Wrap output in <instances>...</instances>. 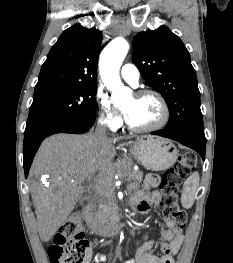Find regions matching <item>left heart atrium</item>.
<instances>
[{
    "label": "left heart atrium",
    "mask_w": 233,
    "mask_h": 263,
    "mask_svg": "<svg viewBox=\"0 0 233 263\" xmlns=\"http://www.w3.org/2000/svg\"><path fill=\"white\" fill-rule=\"evenodd\" d=\"M124 116H125L126 121L128 122L129 121V114L125 112Z\"/></svg>",
    "instance_id": "left-heart-atrium-1"
}]
</instances>
